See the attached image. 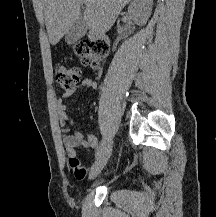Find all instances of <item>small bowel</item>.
I'll use <instances>...</instances> for the list:
<instances>
[{
    "mask_svg": "<svg viewBox=\"0 0 216 217\" xmlns=\"http://www.w3.org/2000/svg\"><path fill=\"white\" fill-rule=\"evenodd\" d=\"M80 87L94 90L97 87L96 81L86 77L81 81ZM76 89L66 90L56 102V109L59 116V123L63 128V143L69 158H76L77 148H91L97 150L99 143L95 135L91 133L82 134L74 128V121L67 114L65 99L73 95ZM82 174L75 176L78 180H82L86 176V169L80 166Z\"/></svg>",
    "mask_w": 216,
    "mask_h": 217,
    "instance_id": "1",
    "label": "small bowel"
}]
</instances>
